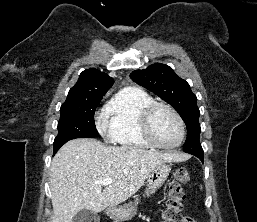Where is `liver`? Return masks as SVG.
<instances>
[{
  "label": "liver",
  "mask_w": 257,
  "mask_h": 222,
  "mask_svg": "<svg viewBox=\"0 0 257 222\" xmlns=\"http://www.w3.org/2000/svg\"><path fill=\"white\" fill-rule=\"evenodd\" d=\"M188 156L134 147L107 146L95 139H74L63 145L51 163V222H72L83 210L95 213L114 207L135 194L151 171ZM112 178L107 185L97 184Z\"/></svg>",
  "instance_id": "liver-1"
}]
</instances>
